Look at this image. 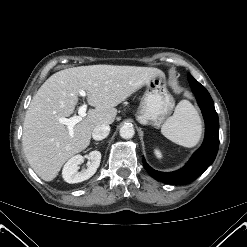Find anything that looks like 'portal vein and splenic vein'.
<instances>
[{"mask_svg":"<svg viewBox=\"0 0 247 247\" xmlns=\"http://www.w3.org/2000/svg\"><path fill=\"white\" fill-rule=\"evenodd\" d=\"M79 95L82 97H85L86 92L84 90H80ZM86 110H87V104L83 103L78 109V115L79 116H73L70 118L59 117L58 121H59V123L66 125L70 135H72L74 126L77 123H79L83 117L86 116Z\"/></svg>","mask_w":247,"mask_h":247,"instance_id":"1","label":"portal vein and splenic vein"}]
</instances>
